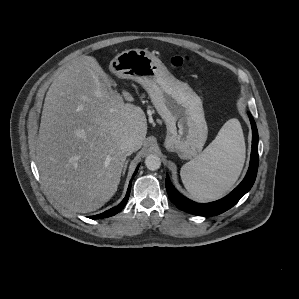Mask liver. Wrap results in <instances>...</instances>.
Returning a JSON list of instances; mask_svg holds the SVG:
<instances>
[{
  "instance_id": "1",
  "label": "liver",
  "mask_w": 299,
  "mask_h": 299,
  "mask_svg": "<svg viewBox=\"0 0 299 299\" xmlns=\"http://www.w3.org/2000/svg\"><path fill=\"white\" fill-rule=\"evenodd\" d=\"M92 56H80L53 81L45 97L36 163L49 194L67 209L101 208L117 191L127 155L120 143L139 150L146 137L144 111L112 89Z\"/></svg>"
}]
</instances>
